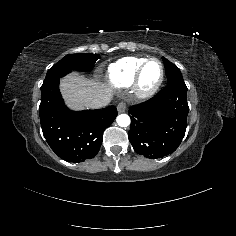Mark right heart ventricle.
Instances as JSON below:
<instances>
[{
	"label": "right heart ventricle",
	"instance_id": "e07e8e85",
	"mask_svg": "<svg viewBox=\"0 0 236 236\" xmlns=\"http://www.w3.org/2000/svg\"><path fill=\"white\" fill-rule=\"evenodd\" d=\"M146 60L143 57H123L110 64L106 71V80L113 89H125L132 85L135 74Z\"/></svg>",
	"mask_w": 236,
	"mask_h": 236
}]
</instances>
